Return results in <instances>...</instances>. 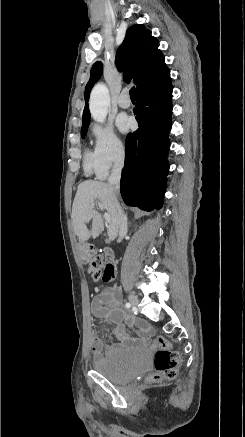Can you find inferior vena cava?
Masks as SVG:
<instances>
[{"label":"inferior vena cava","mask_w":245,"mask_h":437,"mask_svg":"<svg viewBox=\"0 0 245 437\" xmlns=\"http://www.w3.org/2000/svg\"><path fill=\"white\" fill-rule=\"evenodd\" d=\"M123 165H124V151L120 150L116 159H115L111 175L108 179V183L112 187L113 192H114L115 208H116V210L118 212V216H119V236L120 237L127 230V221H126L124 215L122 214L121 208H120L118 200H117V196L119 194V189H120V178H121V172H122ZM118 241H120V238Z\"/></svg>","instance_id":"inferior-vena-cava-1"}]
</instances>
